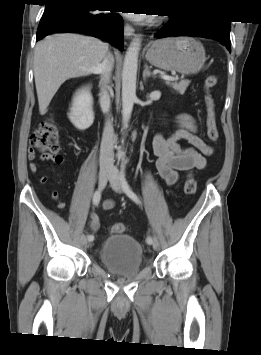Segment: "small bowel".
Instances as JSON below:
<instances>
[{
  "label": "small bowel",
  "instance_id": "small-bowel-1",
  "mask_svg": "<svg viewBox=\"0 0 261 355\" xmlns=\"http://www.w3.org/2000/svg\"><path fill=\"white\" fill-rule=\"evenodd\" d=\"M176 129L170 136L157 134L153 139V152L156 156V168L160 177L168 184L175 185L179 181V173L191 169L204 170L208 163L206 157L211 156L214 150L207 145L198 134L195 120L189 114L182 113L176 116ZM187 141L192 147H182L179 142ZM36 155L33 149H29L28 158L31 160L30 171L36 173L39 165L34 161ZM42 160H52L58 164L64 163L60 155L41 157ZM41 183H47L46 176L41 177ZM113 200H106L102 206L105 210L114 207ZM89 227L96 232L100 227V221L95 213L90 214Z\"/></svg>",
  "mask_w": 261,
  "mask_h": 355
}]
</instances>
